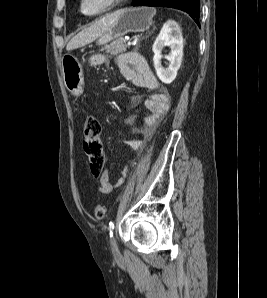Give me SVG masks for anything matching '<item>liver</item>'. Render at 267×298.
<instances>
[{"mask_svg":"<svg viewBox=\"0 0 267 298\" xmlns=\"http://www.w3.org/2000/svg\"><path fill=\"white\" fill-rule=\"evenodd\" d=\"M118 15L119 12L116 11L96 20L91 26L74 36L67 44L66 50L70 51L85 46L96 40L111 27Z\"/></svg>","mask_w":267,"mask_h":298,"instance_id":"1","label":"liver"}]
</instances>
